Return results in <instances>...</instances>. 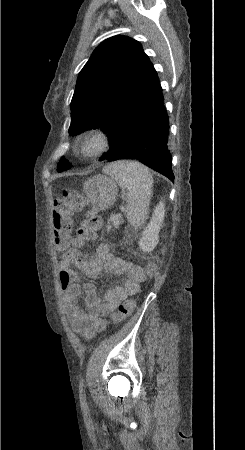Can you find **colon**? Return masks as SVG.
<instances>
[{"instance_id": "obj_1", "label": "colon", "mask_w": 245, "mask_h": 450, "mask_svg": "<svg viewBox=\"0 0 245 450\" xmlns=\"http://www.w3.org/2000/svg\"><path fill=\"white\" fill-rule=\"evenodd\" d=\"M84 210H87L85 218L73 234L72 216ZM100 227L99 216L92 209H89L88 198L82 192L76 189H65L59 197L53 200L51 230L54 246L58 253H65L70 248H79L88 242H93ZM157 272L158 263L156 261L148 262L143 271L148 278L156 276ZM134 306V299L122 302L119 304L117 312L110 314L111 319L114 321L123 320L133 311Z\"/></svg>"}]
</instances>
